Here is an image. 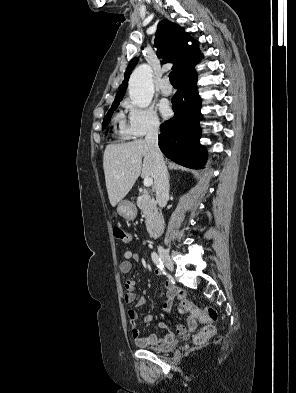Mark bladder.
<instances>
[{
  "label": "bladder",
  "instance_id": "bladder-1",
  "mask_svg": "<svg viewBox=\"0 0 296 393\" xmlns=\"http://www.w3.org/2000/svg\"><path fill=\"white\" fill-rule=\"evenodd\" d=\"M176 347V342L172 341L164 346H160V347H152V346H145V348L149 351H153V352H168L170 350H173Z\"/></svg>",
  "mask_w": 296,
  "mask_h": 393
}]
</instances>
